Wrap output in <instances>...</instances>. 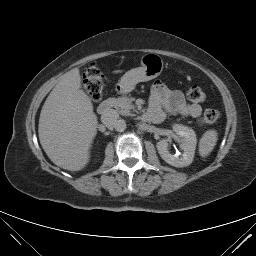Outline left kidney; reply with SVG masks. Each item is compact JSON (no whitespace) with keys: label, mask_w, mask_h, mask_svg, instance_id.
<instances>
[{"label":"left kidney","mask_w":256,"mask_h":256,"mask_svg":"<svg viewBox=\"0 0 256 256\" xmlns=\"http://www.w3.org/2000/svg\"><path fill=\"white\" fill-rule=\"evenodd\" d=\"M173 131L180 137L181 147L184 150L182 156L172 155L169 152L167 139L157 142L158 153L166 163L175 167H186L192 163L194 158L197 143L196 134L193 129L180 124H175Z\"/></svg>","instance_id":"5707ae66"}]
</instances>
